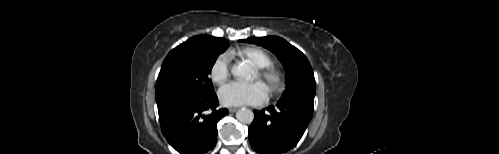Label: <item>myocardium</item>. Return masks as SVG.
<instances>
[{"label": "myocardium", "instance_id": "1", "mask_svg": "<svg viewBox=\"0 0 499 154\" xmlns=\"http://www.w3.org/2000/svg\"><path fill=\"white\" fill-rule=\"evenodd\" d=\"M258 77L266 84L272 94L281 91L284 86L283 71L272 64L258 69Z\"/></svg>", "mask_w": 499, "mask_h": 154}]
</instances>
